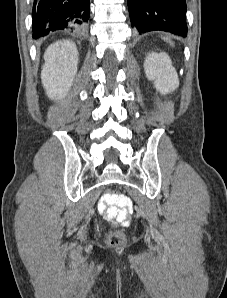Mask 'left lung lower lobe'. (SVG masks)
Returning <instances> with one entry per match:
<instances>
[{
    "mask_svg": "<svg viewBox=\"0 0 227 298\" xmlns=\"http://www.w3.org/2000/svg\"><path fill=\"white\" fill-rule=\"evenodd\" d=\"M130 20L139 33L163 30L187 35L185 0H127Z\"/></svg>",
    "mask_w": 227,
    "mask_h": 298,
    "instance_id": "0a47b994",
    "label": "left lung lower lobe"
}]
</instances>
